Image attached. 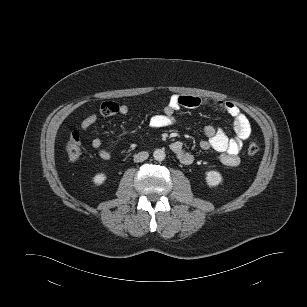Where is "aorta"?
<instances>
[{"mask_svg":"<svg viewBox=\"0 0 307 307\" xmlns=\"http://www.w3.org/2000/svg\"><path fill=\"white\" fill-rule=\"evenodd\" d=\"M153 157L156 161H163L166 157L165 151L163 149H156L153 152Z\"/></svg>","mask_w":307,"mask_h":307,"instance_id":"obj_1","label":"aorta"}]
</instances>
